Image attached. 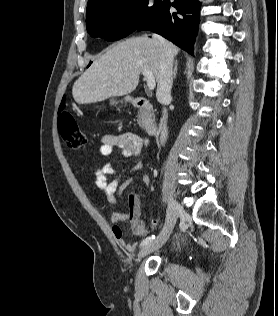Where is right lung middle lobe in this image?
I'll return each mask as SVG.
<instances>
[{"label":"right lung middle lobe","mask_w":278,"mask_h":316,"mask_svg":"<svg viewBox=\"0 0 278 316\" xmlns=\"http://www.w3.org/2000/svg\"><path fill=\"white\" fill-rule=\"evenodd\" d=\"M110 0L86 13V28L92 37L114 41L137 30L155 12L161 0Z\"/></svg>","instance_id":"right-lung-middle-lobe-1"}]
</instances>
